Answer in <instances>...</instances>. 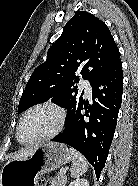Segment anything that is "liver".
<instances>
[{
  "label": "liver",
  "instance_id": "liver-1",
  "mask_svg": "<svg viewBox=\"0 0 138 186\" xmlns=\"http://www.w3.org/2000/svg\"><path fill=\"white\" fill-rule=\"evenodd\" d=\"M38 146H39V145L32 146V147H28L27 149H24V150L19 151V152L15 153L14 155H12V159L28 156V155H29L30 153H32Z\"/></svg>",
  "mask_w": 138,
  "mask_h": 186
}]
</instances>
